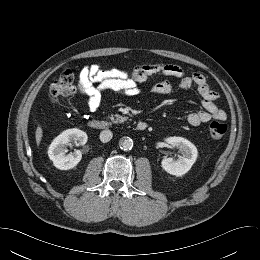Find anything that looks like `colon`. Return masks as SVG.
<instances>
[{"instance_id": "1", "label": "colon", "mask_w": 260, "mask_h": 260, "mask_svg": "<svg viewBox=\"0 0 260 260\" xmlns=\"http://www.w3.org/2000/svg\"><path fill=\"white\" fill-rule=\"evenodd\" d=\"M75 91V76L70 70L63 71L49 86V94L53 102L69 97ZM226 132L227 125L225 123L213 122L209 126V135L214 140L221 139Z\"/></svg>"}]
</instances>
